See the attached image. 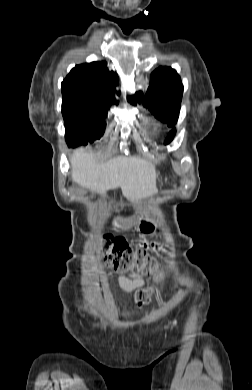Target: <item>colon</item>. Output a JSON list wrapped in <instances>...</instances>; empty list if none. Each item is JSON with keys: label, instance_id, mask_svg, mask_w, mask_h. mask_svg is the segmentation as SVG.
I'll list each match as a JSON object with an SVG mask.
<instances>
[{"label": "colon", "instance_id": "colon-1", "mask_svg": "<svg viewBox=\"0 0 252 390\" xmlns=\"http://www.w3.org/2000/svg\"><path fill=\"white\" fill-rule=\"evenodd\" d=\"M148 245L143 243L131 247L123 237L107 236L102 244L101 253L108 267L118 273L152 274L154 281L160 279L156 260L147 254ZM153 287L141 288L135 293L138 307L148 304L153 295Z\"/></svg>", "mask_w": 252, "mask_h": 390}]
</instances>
